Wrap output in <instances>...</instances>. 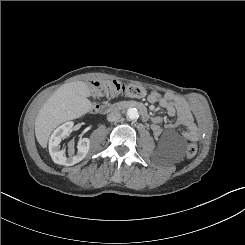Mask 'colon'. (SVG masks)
I'll return each instance as SVG.
<instances>
[{
  "mask_svg": "<svg viewBox=\"0 0 245 245\" xmlns=\"http://www.w3.org/2000/svg\"><path fill=\"white\" fill-rule=\"evenodd\" d=\"M93 97L95 100L112 99L119 95L142 97L146 94L143 87L134 84H124L116 80L98 81L93 85ZM197 153V145L191 143L186 148L187 158H193Z\"/></svg>",
  "mask_w": 245,
  "mask_h": 245,
  "instance_id": "5ec220e1",
  "label": "colon"
}]
</instances>
